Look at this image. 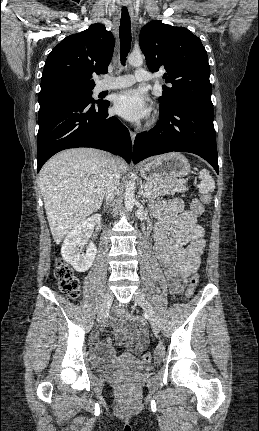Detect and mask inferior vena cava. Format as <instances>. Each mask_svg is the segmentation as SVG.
I'll use <instances>...</instances> for the list:
<instances>
[{"label": "inferior vena cava", "mask_w": 259, "mask_h": 431, "mask_svg": "<svg viewBox=\"0 0 259 431\" xmlns=\"http://www.w3.org/2000/svg\"><path fill=\"white\" fill-rule=\"evenodd\" d=\"M117 159L110 156L109 158V168L105 183V200L109 204L116 194L117 188L119 186L120 172L116 166Z\"/></svg>", "instance_id": "1"}]
</instances>
